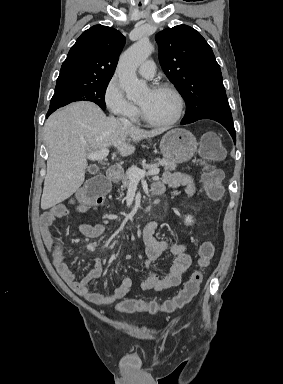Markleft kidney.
<instances>
[{"instance_id":"5707ae66","label":"left kidney","mask_w":283,"mask_h":384,"mask_svg":"<svg viewBox=\"0 0 283 384\" xmlns=\"http://www.w3.org/2000/svg\"><path fill=\"white\" fill-rule=\"evenodd\" d=\"M194 220H192V216H186L185 218V226H191L193 224Z\"/></svg>"}]
</instances>
